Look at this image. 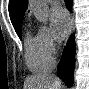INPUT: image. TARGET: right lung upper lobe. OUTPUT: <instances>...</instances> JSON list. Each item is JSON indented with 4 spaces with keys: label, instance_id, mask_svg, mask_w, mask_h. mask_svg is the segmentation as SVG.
Masks as SVG:
<instances>
[{
    "label": "right lung upper lobe",
    "instance_id": "obj_1",
    "mask_svg": "<svg viewBox=\"0 0 89 89\" xmlns=\"http://www.w3.org/2000/svg\"><path fill=\"white\" fill-rule=\"evenodd\" d=\"M27 0H9V15L15 31L22 26Z\"/></svg>",
    "mask_w": 89,
    "mask_h": 89
}]
</instances>
